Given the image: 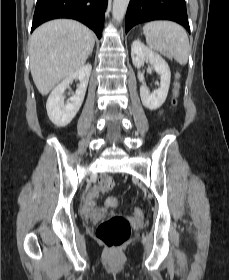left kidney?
Instances as JSON below:
<instances>
[{
  "label": "left kidney",
  "mask_w": 229,
  "mask_h": 280,
  "mask_svg": "<svg viewBox=\"0 0 229 280\" xmlns=\"http://www.w3.org/2000/svg\"><path fill=\"white\" fill-rule=\"evenodd\" d=\"M131 57L133 65L140 69L147 60L160 75V87L152 94L149 93L143 74L138 71V79L142 83L140 97L143 105L150 110H156L165 102L171 80V72L167 62L157 53L146 47L141 41L135 40L131 45Z\"/></svg>",
  "instance_id": "5707ae66"
}]
</instances>
